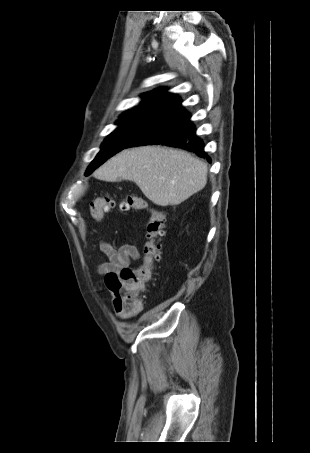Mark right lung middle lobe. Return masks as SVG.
<instances>
[{
	"label": "right lung middle lobe",
	"instance_id": "1",
	"mask_svg": "<svg viewBox=\"0 0 310 453\" xmlns=\"http://www.w3.org/2000/svg\"><path fill=\"white\" fill-rule=\"evenodd\" d=\"M157 118L154 117H120L119 125L102 143L101 151L89 165V175L108 158L123 150L132 140L142 133Z\"/></svg>",
	"mask_w": 310,
	"mask_h": 453
}]
</instances>
